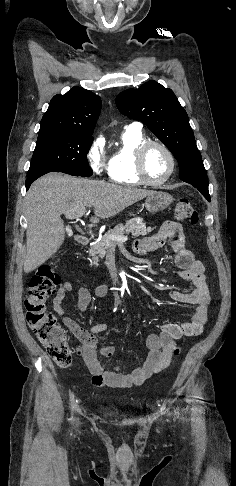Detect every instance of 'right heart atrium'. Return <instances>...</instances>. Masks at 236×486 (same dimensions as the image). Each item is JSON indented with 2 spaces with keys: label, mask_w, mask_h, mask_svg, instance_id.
<instances>
[{
  "label": "right heart atrium",
  "mask_w": 236,
  "mask_h": 486,
  "mask_svg": "<svg viewBox=\"0 0 236 486\" xmlns=\"http://www.w3.org/2000/svg\"><path fill=\"white\" fill-rule=\"evenodd\" d=\"M104 145V139L102 137H96L89 145L87 151L88 163L97 175L109 173V161L105 155Z\"/></svg>",
  "instance_id": "obj_1"
}]
</instances>
